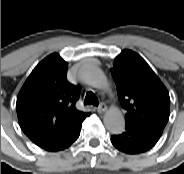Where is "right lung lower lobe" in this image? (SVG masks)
I'll use <instances>...</instances> for the list:
<instances>
[{
	"instance_id": "right-lung-lower-lobe-1",
	"label": "right lung lower lobe",
	"mask_w": 184,
	"mask_h": 174,
	"mask_svg": "<svg viewBox=\"0 0 184 174\" xmlns=\"http://www.w3.org/2000/svg\"><path fill=\"white\" fill-rule=\"evenodd\" d=\"M82 122L83 120L71 127L69 131L57 140L41 147L48 151H59L68 148L79 137Z\"/></svg>"
}]
</instances>
